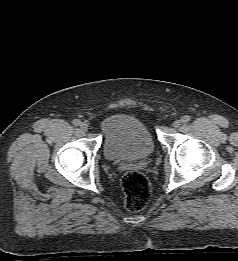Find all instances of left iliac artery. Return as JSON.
I'll return each instance as SVG.
<instances>
[{"label":"left iliac artery","instance_id":"1","mask_svg":"<svg viewBox=\"0 0 238 261\" xmlns=\"http://www.w3.org/2000/svg\"><path fill=\"white\" fill-rule=\"evenodd\" d=\"M181 121H182L183 123H188V122L190 121V117H189V116H183V117L181 118Z\"/></svg>","mask_w":238,"mask_h":261}]
</instances>
